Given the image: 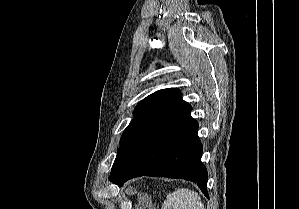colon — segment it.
Listing matches in <instances>:
<instances>
[{"label":"colon","instance_id":"5ec220e1","mask_svg":"<svg viewBox=\"0 0 299 209\" xmlns=\"http://www.w3.org/2000/svg\"><path fill=\"white\" fill-rule=\"evenodd\" d=\"M137 209H152L149 198L146 196H140Z\"/></svg>","mask_w":299,"mask_h":209}]
</instances>
